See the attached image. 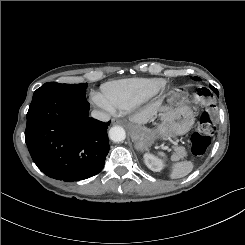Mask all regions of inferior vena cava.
Segmentation results:
<instances>
[{
  "mask_svg": "<svg viewBox=\"0 0 245 245\" xmlns=\"http://www.w3.org/2000/svg\"><path fill=\"white\" fill-rule=\"evenodd\" d=\"M91 116L94 119L100 120L102 122H107L110 120V116L108 114H106L105 112H102V111H98V110H93L91 112Z\"/></svg>",
  "mask_w": 245,
  "mask_h": 245,
  "instance_id": "obj_1",
  "label": "inferior vena cava"
}]
</instances>
